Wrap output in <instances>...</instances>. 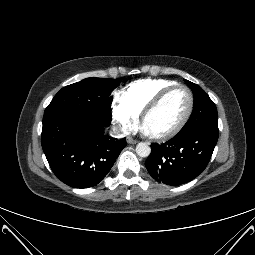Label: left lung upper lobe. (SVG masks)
Instances as JSON below:
<instances>
[{
	"mask_svg": "<svg viewBox=\"0 0 255 255\" xmlns=\"http://www.w3.org/2000/svg\"><path fill=\"white\" fill-rule=\"evenodd\" d=\"M185 81L194 93V109L179 133L200 130L218 131V114L215 104L200 86L188 80Z\"/></svg>",
	"mask_w": 255,
	"mask_h": 255,
	"instance_id": "1",
	"label": "left lung upper lobe"
}]
</instances>
